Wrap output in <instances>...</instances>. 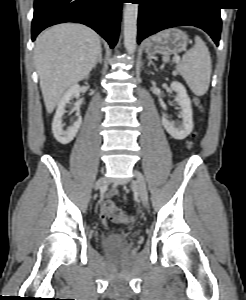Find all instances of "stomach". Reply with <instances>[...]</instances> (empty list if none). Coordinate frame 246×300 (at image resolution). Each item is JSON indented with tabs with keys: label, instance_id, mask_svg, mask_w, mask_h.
I'll list each match as a JSON object with an SVG mask.
<instances>
[{
	"label": "stomach",
	"instance_id": "stomach-1",
	"mask_svg": "<svg viewBox=\"0 0 246 300\" xmlns=\"http://www.w3.org/2000/svg\"><path fill=\"white\" fill-rule=\"evenodd\" d=\"M189 42L188 35L177 28L167 29L150 37L145 44L148 55H169L184 51Z\"/></svg>",
	"mask_w": 246,
	"mask_h": 300
}]
</instances>
